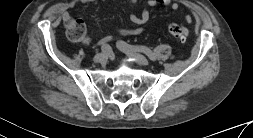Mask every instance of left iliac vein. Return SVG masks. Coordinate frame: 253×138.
Returning <instances> with one entry per match:
<instances>
[{
	"label": "left iliac vein",
	"instance_id": "obj_1",
	"mask_svg": "<svg viewBox=\"0 0 253 138\" xmlns=\"http://www.w3.org/2000/svg\"><path fill=\"white\" fill-rule=\"evenodd\" d=\"M121 51H123L125 54H127L129 57L134 58L139 64L147 65L148 60L146 57H144L142 54L137 53L136 51L131 50H124L122 48H119Z\"/></svg>",
	"mask_w": 253,
	"mask_h": 138
}]
</instances>
